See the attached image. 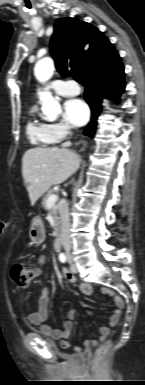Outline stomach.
Listing matches in <instances>:
<instances>
[{
    "label": "stomach",
    "instance_id": "stomach-1",
    "mask_svg": "<svg viewBox=\"0 0 145 385\" xmlns=\"http://www.w3.org/2000/svg\"><path fill=\"white\" fill-rule=\"evenodd\" d=\"M29 237L33 244H41L45 240V229L40 218H35L32 221Z\"/></svg>",
    "mask_w": 145,
    "mask_h": 385
}]
</instances>
